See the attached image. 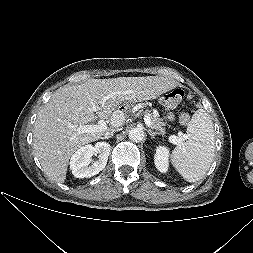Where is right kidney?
<instances>
[{"instance_id":"1","label":"right kidney","mask_w":253,"mask_h":253,"mask_svg":"<svg viewBox=\"0 0 253 253\" xmlns=\"http://www.w3.org/2000/svg\"><path fill=\"white\" fill-rule=\"evenodd\" d=\"M111 146L107 142H97L79 148L71 157L70 169L76 178H88L98 174L107 164ZM98 154V160L91 164V157Z\"/></svg>"}]
</instances>
